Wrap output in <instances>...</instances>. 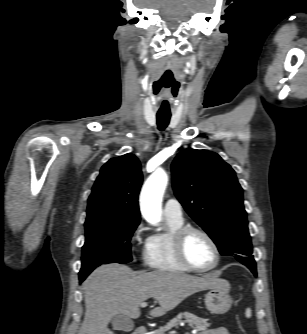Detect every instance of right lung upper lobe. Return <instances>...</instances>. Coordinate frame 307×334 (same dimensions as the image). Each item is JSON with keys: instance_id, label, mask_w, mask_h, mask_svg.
Here are the masks:
<instances>
[{"instance_id": "right-lung-upper-lobe-1", "label": "right lung upper lobe", "mask_w": 307, "mask_h": 334, "mask_svg": "<svg viewBox=\"0 0 307 334\" xmlns=\"http://www.w3.org/2000/svg\"><path fill=\"white\" fill-rule=\"evenodd\" d=\"M142 172L131 153L110 159L100 171L88 199L87 218L140 222L138 195Z\"/></svg>"}]
</instances>
